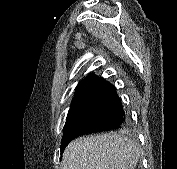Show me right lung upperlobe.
Instances as JSON below:
<instances>
[{"instance_id": "cb5924a9", "label": "right lung upper lobe", "mask_w": 177, "mask_h": 169, "mask_svg": "<svg viewBox=\"0 0 177 169\" xmlns=\"http://www.w3.org/2000/svg\"><path fill=\"white\" fill-rule=\"evenodd\" d=\"M93 76H94L93 74H89L82 81H80V83L77 86V93H76V95H80L81 93L86 92L87 84L92 79Z\"/></svg>"}]
</instances>
